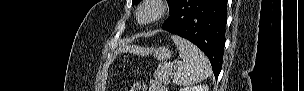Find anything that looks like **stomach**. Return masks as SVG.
<instances>
[{"label":"stomach","instance_id":"stomach-1","mask_svg":"<svg viewBox=\"0 0 304 91\" xmlns=\"http://www.w3.org/2000/svg\"><path fill=\"white\" fill-rule=\"evenodd\" d=\"M148 52L153 54V56L155 58H157V60H160V61L168 60V59H170V57L172 55L170 49L167 47H158V48L153 47V48H151V50H148Z\"/></svg>","mask_w":304,"mask_h":91}]
</instances>
